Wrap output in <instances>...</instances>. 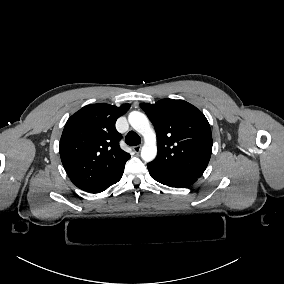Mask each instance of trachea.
Here are the masks:
<instances>
[{"mask_svg": "<svg viewBox=\"0 0 284 284\" xmlns=\"http://www.w3.org/2000/svg\"><path fill=\"white\" fill-rule=\"evenodd\" d=\"M125 142L130 146H135L141 143V138L134 131H130L126 135Z\"/></svg>", "mask_w": 284, "mask_h": 284, "instance_id": "trachea-1", "label": "trachea"}]
</instances>
